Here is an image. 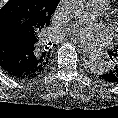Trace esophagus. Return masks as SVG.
<instances>
[{
	"label": "esophagus",
	"instance_id": "obj_1",
	"mask_svg": "<svg viewBox=\"0 0 118 118\" xmlns=\"http://www.w3.org/2000/svg\"><path fill=\"white\" fill-rule=\"evenodd\" d=\"M81 52H82V54H83L84 56H86V57H89V58L92 57V53L89 52V51H87V50H85V49H81Z\"/></svg>",
	"mask_w": 118,
	"mask_h": 118
}]
</instances>
